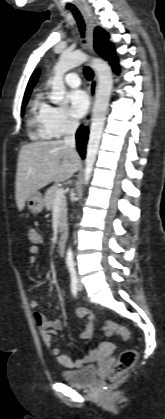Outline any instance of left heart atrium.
I'll return each instance as SVG.
<instances>
[{
    "label": "left heart atrium",
    "instance_id": "left-heart-atrium-1",
    "mask_svg": "<svg viewBox=\"0 0 165 419\" xmlns=\"http://www.w3.org/2000/svg\"><path fill=\"white\" fill-rule=\"evenodd\" d=\"M67 98L71 114L76 118H82L89 108V97L86 92L76 89L69 92Z\"/></svg>",
    "mask_w": 165,
    "mask_h": 419
}]
</instances>
